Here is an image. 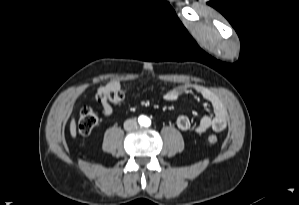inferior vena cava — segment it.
Here are the masks:
<instances>
[{"label": "inferior vena cava", "mask_w": 299, "mask_h": 205, "mask_svg": "<svg viewBox=\"0 0 299 205\" xmlns=\"http://www.w3.org/2000/svg\"><path fill=\"white\" fill-rule=\"evenodd\" d=\"M137 127V122L134 119H128L124 122V129L127 131L133 130Z\"/></svg>", "instance_id": "inferior-vena-cava-1"}]
</instances>
